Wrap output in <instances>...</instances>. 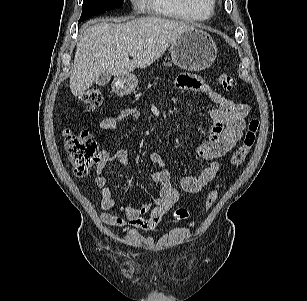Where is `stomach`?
Instances as JSON below:
<instances>
[{"instance_id":"0dacf381","label":"stomach","mask_w":307,"mask_h":301,"mask_svg":"<svg viewBox=\"0 0 307 301\" xmlns=\"http://www.w3.org/2000/svg\"><path fill=\"white\" fill-rule=\"evenodd\" d=\"M172 61L188 71H201L210 67L216 59L217 47L212 37L204 30L191 28L182 32L170 47ZM138 78L134 74L117 77L112 89L118 95H127L135 90Z\"/></svg>"}]
</instances>
